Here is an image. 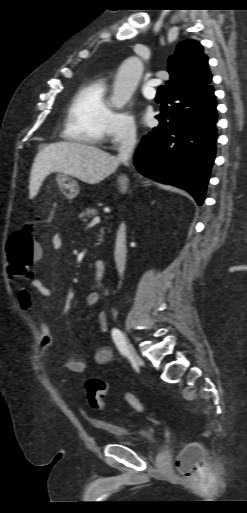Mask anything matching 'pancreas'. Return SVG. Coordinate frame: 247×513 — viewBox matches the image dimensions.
Listing matches in <instances>:
<instances>
[{
  "label": "pancreas",
  "mask_w": 247,
  "mask_h": 513,
  "mask_svg": "<svg viewBox=\"0 0 247 513\" xmlns=\"http://www.w3.org/2000/svg\"><path fill=\"white\" fill-rule=\"evenodd\" d=\"M97 214L98 212L95 208H86L85 211L79 214L78 218L83 222H87L90 217L95 216ZM101 234H104L103 229H101Z\"/></svg>",
  "instance_id": "cf45deb5"
}]
</instances>
